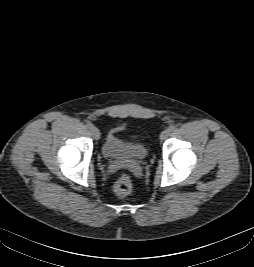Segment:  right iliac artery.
Instances as JSON below:
<instances>
[{"instance_id":"1","label":"right iliac artery","mask_w":254,"mask_h":267,"mask_svg":"<svg viewBox=\"0 0 254 267\" xmlns=\"http://www.w3.org/2000/svg\"><path fill=\"white\" fill-rule=\"evenodd\" d=\"M93 125L90 122L86 123V127L91 128Z\"/></svg>"}]
</instances>
